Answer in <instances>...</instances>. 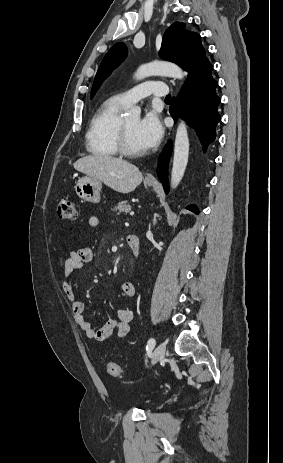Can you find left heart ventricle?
<instances>
[{
	"mask_svg": "<svg viewBox=\"0 0 283 463\" xmlns=\"http://www.w3.org/2000/svg\"><path fill=\"white\" fill-rule=\"evenodd\" d=\"M138 122H139V119L137 117H131V118L125 119L127 140H128L130 147L133 150L144 151L141 145L139 144L137 136H136V127H137Z\"/></svg>",
	"mask_w": 283,
	"mask_h": 463,
	"instance_id": "left-heart-ventricle-1",
	"label": "left heart ventricle"
}]
</instances>
